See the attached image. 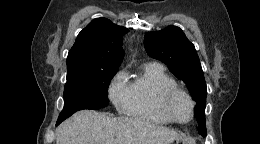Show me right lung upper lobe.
I'll use <instances>...</instances> for the list:
<instances>
[{"instance_id":"1","label":"right lung upper lobe","mask_w":260,"mask_h":144,"mask_svg":"<svg viewBox=\"0 0 260 144\" xmlns=\"http://www.w3.org/2000/svg\"><path fill=\"white\" fill-rule=\"evenodd\" d=\"M127 32L106 18L92 20L68 53V74L118 69L124 57L122 35Z\"/></svg>"}]
</instances>
